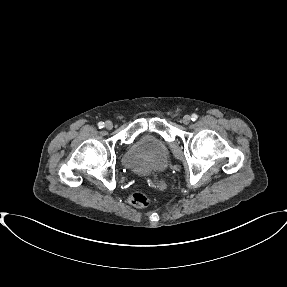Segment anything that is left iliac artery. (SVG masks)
I'll use <instances>...</instances> for the list:
<instances>
[{
  "mask_svg": "<svg viewBox=\"0 0 287 287\" xmlns=\"http://www.w3.org/2000/svg\"><path fill=\"white\" fill-rule=\"evenodd\" d=\"M197 118H198L197 114H192V115H191V119H192V121L197 120Z\"/></svg>",
  "mask_w": 287,
  "mask_h": 287,
  "instance_id": "44dca946",
  "label": "left iliac artery"
}]
</instances>
